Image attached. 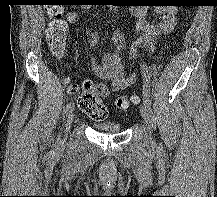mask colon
<instances>
[{"label":"colon","instance_id":"obj_1","mask_svg":"<svg viewBox=\"0 0 217 197\" xmlns=\"http://www.w3.org/2000/svg\"><path fill=\"white\" fill-rule=\"evenodd\" d=\"M45 11L50 18V22L46 29L48 46L50 53L55 58L63 56L66 49L68 26L63 19V4L61 0H47ZM108 93V88L93 80H86L83 85V92L77 100L79 108L92 120L103 121L108 110L102 98ZM138 104L140 98L138 96L126 97L121 96L116 99V106L125 110L130 103Z\"/></svg>","mask_w":217,"mask_h":197}]
</instances>
